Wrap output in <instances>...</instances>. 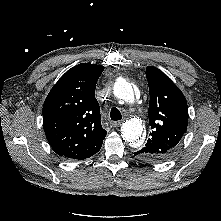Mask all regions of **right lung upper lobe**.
Returning <instances> with one entry per match:
<instances>
[{"label": "right lung upper lobe", "mask_w": 221, "mask_h": 221, "mask_svg": "<svg viewBox=\"0 0 221 221\" xmlns=\"http://www.w3.org/2000/svg\"><path fill=\"white\" fill-rule=\"evenodd\" d=\"M103 66L82 63L53 86L43 106V127L60 156L86 159L97 153L107 132L101 126L95 87Z\"/></svg>", "instance_id": "obj_1"}]
</instances>
